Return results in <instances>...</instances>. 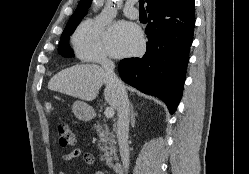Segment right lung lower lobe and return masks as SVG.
<instances>
[{"label":"right lung lower lobe","instance_id":"obj_1","mask_svg":"<svg viewBox=\"0 0 249 174\" xmlns=\"http://www.w3.org/2000/svg\"><path fill=\"white\" fill-rule=\"evenodd\" d=\"M148 13L146 53L123 59L118 70L123 81L159 97L173 114L182 96L193 40L194 0H179Z\"/></svg>","mask_w":249,"mask_h":174}]
</instances>
